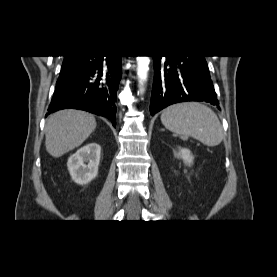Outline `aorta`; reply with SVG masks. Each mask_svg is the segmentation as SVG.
<instances>
[{"mask_svg":"<svg viewBox=\"0 0 277 277\" xmlns=\"http://www.w3.org/2000/svg\"><path fill=\"white\" fill-rule=\"evenodd\" d=\"M149 63V56H137V76L139 79L140 93L144 92L143 83L147 79Z\"/></svg>","mask_w":277,"mask_h":277,"instance_id":"aorta-1","label":"aorta"}]
</instances>
